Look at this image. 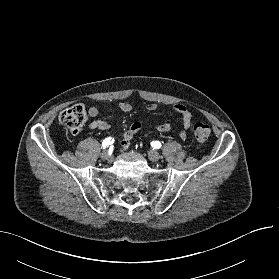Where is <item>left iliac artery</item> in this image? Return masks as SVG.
<instances>
[{
  "label": "left iliac artery",
  "instance_id": "left-iliac-artery-1",
  "mask_svg": "<svg viewBox=\"0 0 279 279\" xmlns=\"http://www.w3.org/2000/svg\"><path fill=\"white\" fill-rule=\"evenodd\" d=\"M151 145L155 149H158L161 147V143L159 141H153V142H151Z\"/></svg>",
  "mask_w": 279,
  "mask_h": 279
}]
</instances>
